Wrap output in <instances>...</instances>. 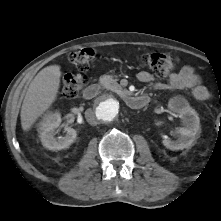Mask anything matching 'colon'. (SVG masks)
Listing matches in <instances>:
<instances>
[{
    "instance_id": "obj_1",
    "label": "colon",
    "mask_w": 221,
    "mask_h": 221,
    "mask_svg": "<svg viewBox=\"0 0 221 221\" xmlns=\"http://www.w3.org/2000/svg\"><path fill=\"white\" fill-rule=\"evenodd\" d=\"M94 55L95 53L93 49L84 48L74 52L71 55V62L79 71H86L91 64ZM178 61V58L173 57L167 53H144L141 56L142 64L148 68L154 76L159 78L165 77L171 71H173L178 64ZM86 82L87 78L84 75H66L62 82L63 95L67 98H74L78 96Z\"/></svg>"
}]
</instances>
